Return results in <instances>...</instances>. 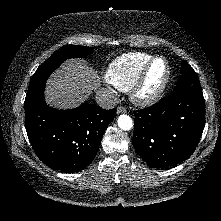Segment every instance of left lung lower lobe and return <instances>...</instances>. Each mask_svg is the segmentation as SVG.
<instances>
[{
	"mask_svg": "<svg viewBox=\"0 0 221 221\" xmlns=\"http://www.w3.org/2000/svg\"><path fill=\"white\" fill-rule=\"evenodd\" d=\"M205 126L203 97L170 94L135 112L133 146L152 168H167L189 158Z\"/></svg>",
	"mask_w": 221,
	"mask_h": 221,
	"instance_id": "left-lung-lower-lobe-1",
	"label": "left lung lower lobe"
}]
</instances>
